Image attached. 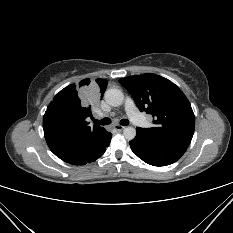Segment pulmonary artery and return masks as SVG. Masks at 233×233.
Masks as SVG:
<instances>
[{
    "instance_id": "pulmonary-artery-1",
    "label": "pulmonary artery",
    "mask_w": 233,
    "mask_h": 233,
    "mask_svg": "<svg viewBox=\"0 0 233 233\" xmlns=\"http://www.w3.org/2000/svg\"><path fill=\"white\" fill-rule=\"evenodd\" d=\"M125 110L134 124L141 127H147L149 125L148 120L138 111L134 101L131 98H126Z\"/></svg>"
}]
</instances>
